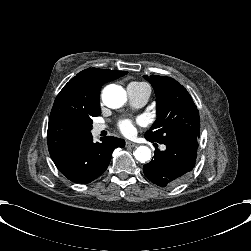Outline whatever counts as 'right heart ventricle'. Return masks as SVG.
I'll return each instance as SVG.
<instances>
[{
    "instance_id": "1",
    "label": "right heart ventricle",
    "mask_w": 251,
    "mask_h": 251,
    "mask_svg": "<svg viewBox=\"0 0 251 251\" xmlns=\"http://www.w3.org/2000/svg\"><path fill=\"white\" fill-rule=\"evenodd\" d=\"M128 86H133L139 93H145L146 95H148V90H147L148 85L144 82L132 81L129 83Z\"/></svg>"
}]
</instances>
